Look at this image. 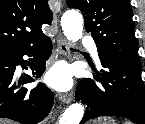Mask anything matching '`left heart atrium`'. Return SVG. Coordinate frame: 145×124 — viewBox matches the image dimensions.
<instances>
[{
  "mask_svg": "<svg viewBox=\"0 0 145 124\" xmlns=\"http://www.w3.org/2000/svg\"><path fill=\"white\" fill-rule=\"evenodd\" d=\"M46 81L56 89L65 90L71 84V77L64 66H58L49 71Z\"/></svg>",
  "mask_w": 145,
  "mask_h": 124,
  "instance_id": "left-heart-atrium-1",
  "label": "left heart atrium"
}]
</instances>
